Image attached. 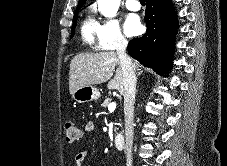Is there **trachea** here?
<instances>
[{
    "label": "trachea",
    "mask_w": 227,
    "mask_h": 166,
    "mask_svg": "<svg viewBox=\"0 0 227 166\" xmlns=\"http://www.w3.org/2000/svg\"><path fill=\"white\" fill-rule=\"evenodd\" d=\"M141 3H145V0H140Z\"/></svg>",
    "instance_id": "3493384b"
}]
</instances>
